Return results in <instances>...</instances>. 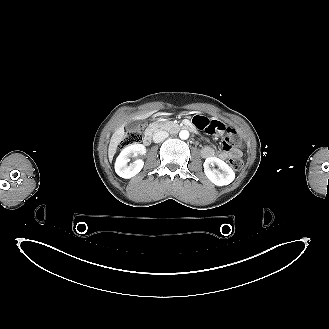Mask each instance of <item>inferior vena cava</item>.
I'll return each mask as SVG.
<instances>
[{
    "instance_id": "inferior-vena-cava-1",
    "label": "inferior vena cava",
    "mask_w": 329,
    "mask_h": 329,
    "mask_svg": "<svg viewBox=\"0 0 329 329\" xmlns=\"http://www.w3.org/2000/svg\"><path fill=\"white\" fill-rule=\"evenodd\" d=\"M168 136L169 134L166 131H158L154 134L153 141L155 143H160L164 141Z\"/></svg>"
}]
</instances>
